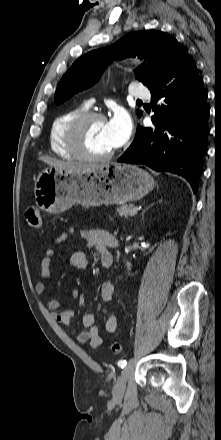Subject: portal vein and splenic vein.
Instances as JSON below:
<instances>
[{
    "instance_id": "portal-vein-and-splenic-vein-1",
    "label": "portal vein and splenic vein",
    "mask_w": 221,
    "mask_h": 440,
    "mask_svg": "<svg viewBox=\"0 0 221 440\" xmlns=\"http://www.w3.org/2000/svg\"><path fill=\"white\" fill-rule=\"evenodd\" d=\"M137 212H138V208L134 207L133 210L131 211L130 215L134 216L137 214Z\"/></svg>"
}]
</instances>
